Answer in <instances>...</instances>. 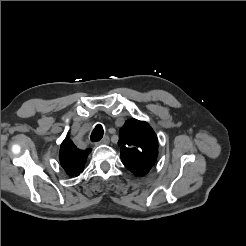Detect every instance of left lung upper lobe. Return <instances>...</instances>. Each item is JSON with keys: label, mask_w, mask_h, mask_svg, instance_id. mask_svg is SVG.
Masks as SVG:
<instances>
[{"label": "left lung upper lobe", "mask_w": 246, "mask_h": 246, "mask_svg": "<svg viewBox=\"0 0 246 246\" xmlns=\"http://www.w3.org/2000/svg\"><path fill=\"white\" fill-rule=\"evenodd\" d=\"M118 144L123 164L136 176L146 175L156 162L158 139L144 121L127 120L120 129Z\"/></svg>", "instance_id": "5c2ea615"}]
</instances>
